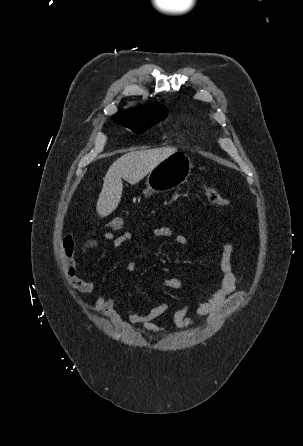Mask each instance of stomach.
Wrapping results in <instances>:
<instances>
[{
    "label": "stomach",
    "instance_id": "0dacf381",
    "mask_svg": "<svg viewBox=\"0 0 303 446\" xmlns=\"http://www.w3.org/2000/svg\"><path fill=\"white\" fill-rule=\"evenodd\" d=\"M192 168L190 158L180 152L173 153L150 171L143 194L146 198L159 192L173 190L187 181Z\"/></svg>",
    "mask_w": 303,
    "mask_h": 446
}]
</instances>
